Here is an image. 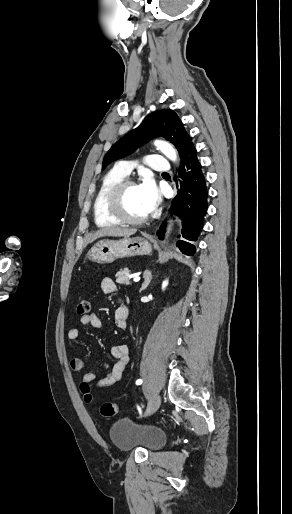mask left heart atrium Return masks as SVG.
<instances>
[{
    "label": "left heart atrium",
    "instance_id": "39dd6f15",
    "mask_svg": "<svg viewBox=\"0 0 292 514\" xmlns=\"http://www.w3.org/2000/svg\"><path fill=\"white\" fill-rule=\"evenodd\" d=\"M137 188L147 213L155 210L159 204L160 195L154 179L149 175L144 176Z\"/></svg>",
    "mask_w": 292,
    "mask_h": 514
}]
</instances>
